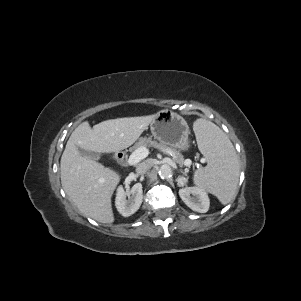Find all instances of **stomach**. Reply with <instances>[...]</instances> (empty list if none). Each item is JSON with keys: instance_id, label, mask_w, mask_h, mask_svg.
Listing matches in <instances>:
<instances>
[{"instance_id": "obj_1", "label": "stomach", "mask_w": 301, "mask_h": 301, "mask_svg": "<svg viewBox=\"0 0 301 301\" xmlns=\"http://www.w3.org/2000/svg\"><path fill=\"white\" fill-rule=\"evenodd\" d=\"M152 136L160 143L180 151L190 149V129L183 117L170 111L161 110L150 123Z\"/></svg>"}]
</instances>
